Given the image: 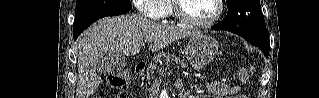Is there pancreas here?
Segmentation results:
<instances>
[{"label":"pancreas","instance_id":"pancreas-1","mask_svg":"<svg viewBox=\"0 0 319 98\" xmlns=\"http://www.w3.org/2000/svg\"><path fill=\"white\" fill-rule=\"evenodd\" d=\"M170 60L185 66V64L181 61V59L175 54H172L169 52H162L153 58V62L150 64V68L148 69V72H147V77L149 78L150 76L153 75L154 71L156 70L158 62H161V61L170 62Z\"/></svg>","mask_w":319,"mask_h":98}]
</instances>
